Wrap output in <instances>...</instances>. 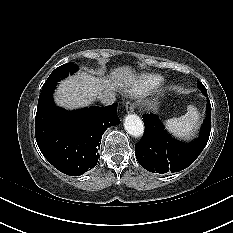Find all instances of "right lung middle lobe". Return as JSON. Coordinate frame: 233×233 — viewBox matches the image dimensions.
<instances>
[{"mask_svg":"<svg viewBox=\"0 0 233 233\" xmlns=\"http://www.w3.org/2000/svg\"><path fill=\"white\" fill-rule=\"evenodd\" d=\"M77 69L78 66L76 64L66 63L56 68L50 74L39 96L37 111H42L43 109L49 107L52 104V93L57 82H59L61 79L65 78L69 74L75 73Z\"/></svg>","mask_w":233,"mask_h":233,"instance_id":"obj_1","label":"right lung middle lobe"}]
</instances>
